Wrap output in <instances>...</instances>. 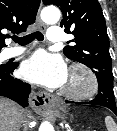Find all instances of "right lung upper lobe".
<instances>
[{"instance_id":"cb5924a9","label":"right lung upper lobe","mask_w":117,"mask_h":131,"mask_svg":"<svg viewBox=\"0 0 117 131\" xmlns=\"http://www.w3.org/2000/svg\"><path fill=\"white\" fill-rule=\"evenodd\" d=\"M39 5L40 0H0V50L6 46L8 36L1 31L16 34L26 31L35 22Z\"/></svg>"}]
</instances>
